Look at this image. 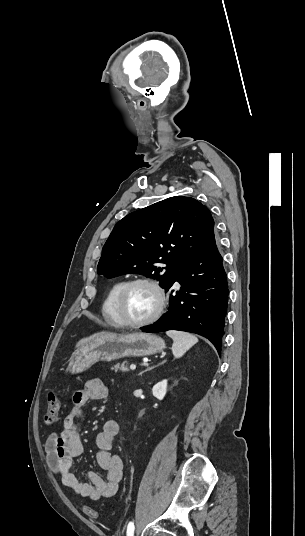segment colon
Returning <instances> with one entry per match:
<instances>
[{
    "mask_svg": "<svg viewBox=\"0 0 305 536\" xmlns=\"http://www.w3.org/2000/svg\"><path fill=\"white\" fill-rule=\"evenodd\" d=\"M47 401L48 402L45 412V423L47 425H53L55 422H57V419L59 417L60 399L55 393L49 392ZM84 516L86 518L98 517V512L95 510L86 509L84 511Z\"/></svg>",
    "mask_w": 305,
    "mask_h": 536,
    "instance_id": "colon-1",
    "label": "colon"
}]
</instances>
